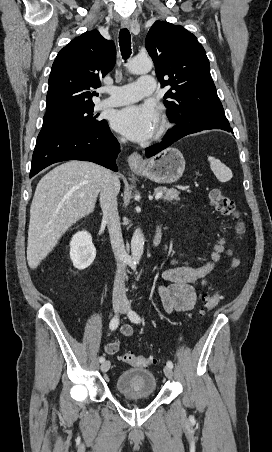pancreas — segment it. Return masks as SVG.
Here are the masks:
<instances>
[{"mask_svg":"<svg viewBox=\"0 0 272 452\" xmlns=\"http://www.w3.org/2000/svg\"><path fill=\"white\" fill-rule=\"evenodd\" d=\"M163 192L162 199L164 201H173V200H179V191L176 189H166L164 187H157L155 188V193Z\"/></svg>","mask_w":272,"mask_h":452,"instance_id":"1","label":"pancreas"}]
</instances>
